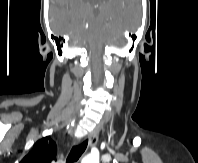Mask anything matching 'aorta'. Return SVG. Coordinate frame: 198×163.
Segmentation results:
<instances>
[{"instance_id":"obj_1","label":"aorta","mask_w":198,"mask_h":163,"mask_svg":"<svg viewBox=\"0 0 198 163\" xmlns=\"http://www.w3.org/2000/svg\"><path fill=\"white\" fill-rule=\"evenodd\" d=\"M81 163H99V157L94 155L85 156Z\"/></svg>"}]
</instances>
